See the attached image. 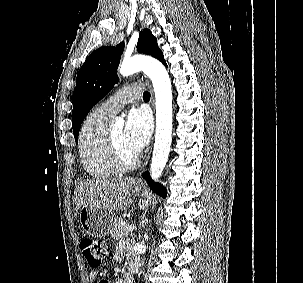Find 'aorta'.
<instances>
[{"instance_id":"aorta-1","label":"aorta","mask_w":303,"mask_h":283,"mask_svg":"<svg viewBox=\"0 0 303 283\" xmlns=\"http://www.w3.org/2000/svg\"><path fill=\"white\" fill-rule=\"evenodd\" d=\"M120 74L130 76L143 71L152 81L156 99V131L150 175L158 180L166 166L171 148L172 133V89L168 72L158 60L148 56H134L125 59ZM117 124H123L121 119Z\"/></svg>"}]
</instances>
